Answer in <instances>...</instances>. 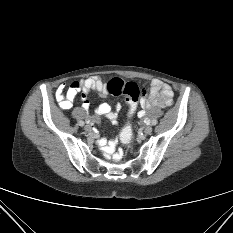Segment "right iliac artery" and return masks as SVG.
<instances>
[{
    "label": "right iliac artery",
    "instance_id": "right-iliac-artery-1",
    "mask_svg": "<svg viewBox=\"0 0 233 233\" xmlns=\"http://www.w3.org/2000/svg\"><path fill=\"white\" fill-rule=\"evenodd\" d=\"M79 125H80V126H83V125H84V122H83V121H79Z\"/></svg>",
    "mask_w": 233,
    "mask_h": 233
}]
</instances>
